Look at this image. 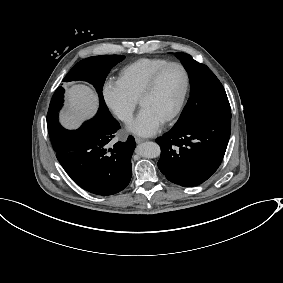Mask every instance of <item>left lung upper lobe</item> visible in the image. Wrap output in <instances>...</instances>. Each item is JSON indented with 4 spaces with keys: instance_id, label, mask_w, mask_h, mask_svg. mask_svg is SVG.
Here are the masks:
<instances>
[{
    "instance_id": "1",
    "label": "left lung upper lobe",
    "mask_w": 283,
    "mask_h": 283,
    "mask_svg": "<svg viewBox=\"0 0 283 283\" xmlns=\"http://www.w3.org/2000/svg\"><path fill=\"white\" fill-rule=\"evenodd\" d=\"M176 56L189 74L191 94L175 125L185 126L205 115L230 113L226 92L214 73L189 54L177 52Z\"/></svg>"
}]
</instances>
